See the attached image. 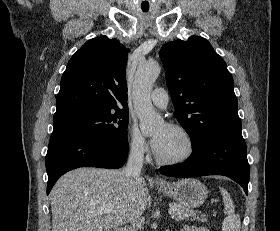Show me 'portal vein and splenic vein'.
Here are the masks:
<instances>
[{"mask_svg": "<svg viewBox=\"0 0 280 231\" xmlns=\"http://www.w3.org/2000/svg\"><path fill=\"white\" fill-rule=\"evenodd\" d=\"M106 211H111V207H103V209H98V211H95V215H98V213H106ZM176 209L174 207H170L168 213H175Z\"/></svg>", "mask_w": 280, "mask_h": 231, "instance_id": "18ae733b", "label": "portal vein and splenic vein"}]
</instances>
